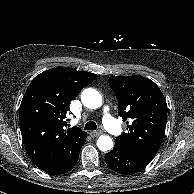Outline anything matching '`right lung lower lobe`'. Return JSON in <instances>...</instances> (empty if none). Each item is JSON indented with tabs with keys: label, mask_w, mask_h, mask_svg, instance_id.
Segmentation results:
<instances>
[{
	"label": "right lung lower lobe",
	"mask_w": 194,
	"mask_h": 194,
	"mask_svg": "<svg viewBox=\"0 0 194 194\" xmlns=\"http://www.w3.org/2000/svg\"><path fill=\"white\" fill-rule=\"evenodd\" d=\"M86 137L83 140V142L81 143V145L78 147V149L74 152V154H72L68 158V160H66L65 162H63L59 166L53 168L52 170L46 171V173L51 174V175H59V174H64V173H67L68 171H70L75 166V164L78 160L80 149H81L82 145L85 143Z\"/></svg>",
	"instance_id": "obj_1"
}]
</instances>
